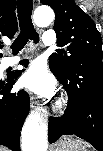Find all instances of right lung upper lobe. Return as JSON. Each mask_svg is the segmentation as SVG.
<instances>
[{"instance_id": "cb5924a9", "label": "right lung upper lobe", "mask_w": 103, "mask_h": 151, "mask_svg": "<svg viewBox=\"0 0 103 151\" xmlns=\"http://www.w3.org/2000/svg\"><path fill=\"white\" fill-rule=\"evenodd\" d=\"M15 0H0V39L2 36L13 37L18 23L15 14Z\"/></svg>"}]
</instances>
